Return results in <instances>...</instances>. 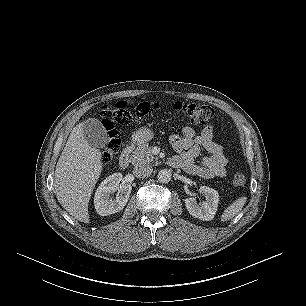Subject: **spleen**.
Listing matches in <instances>:
<instances>
[{
  "label": "spleen",
  "instance_id": "1",
  "mask_svg": "<svg viewBox=\"0 0 306 306\" xmlns=\"http://www.w3.org/2000/svg\"><path fill=\"white\" fill-rule=\"evenodd\" d=\"M247 201L245 196L236 199L233 203H231L223 212L221 216V221L225 222L232 219L236 216L243 208Z\"/></svg>",
  "mask_w": 306,
  "mask_h": 306
}]
</instances>
